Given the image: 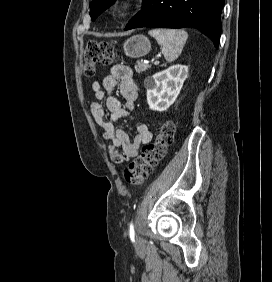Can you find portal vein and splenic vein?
Instances as JSON below:
<instances>
[{"mask_svg":"<svg viewBox=\"0 0 272 282\" xmlns=\"http://www.w3.org/2000/svg\"><path fill=\"white\" fill-rule=\"evenodd\" d=\"M154 64H155V65L159 64V61H158V60H155V61H154Z\"/></svg>","mask_w":272,"mask_h":282,"instance_id":"18ae733b","label":"portal vein and splenic vein"}]
</instances>
